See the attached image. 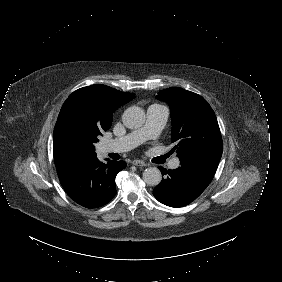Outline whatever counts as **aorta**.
<instances>
[{
	"label": "aorta",
	"mask_w": 282,
	"mask_h": 282,
	"mask_svg": "<svg viewBox=\"0 0 282 282\" xmlns=\"http://www.w3.org/2000/svg\"><path fill=\"white\" fill-rule=\"evenodd\" d=\"M146 112L142 107L130 106L123 113V123L128 128H139L145 123ZM143 180L147 185L157 186L162 181L161 171L157 167L144 170Z\"/></svg>",
	"instance_id": "aorta-1"
}]
</instances>
